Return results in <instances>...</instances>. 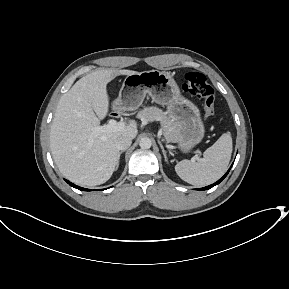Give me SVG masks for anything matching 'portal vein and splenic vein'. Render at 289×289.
<instances>
[{
  "instance_id": "obj_1",
  "label": "portal vein and splenic vein",
  "mask_w": 289,
  "mask_h": 289,
  "mask_svg": "<svg viewBox=\"0 0 289 289\" xmlns=\"http://www.w3.org/2000/svg\"><path fill=\"white\" fill-rule=\"evenodd\" d=\"M123 122H117L114 119L109 120L108 124L103 126H97L93 128V134L99 135L102 133L114 132L122 129L124 127Z\"/></svg>"
}]
</instances>
